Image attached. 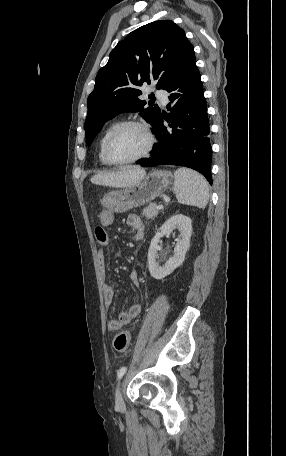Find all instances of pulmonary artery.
I'll return each instance as SVG.
<instances>
[{
    "label": "pulmonary artery",
    "instance_id": "e3ab8cb5",
    "mask_svg": "<svg viewBox=\"0 0 286 456\" xmlns=\"http://www.w3.org/2000/svg\"><path fill=\"white\" fill-rule=\"evenodd\" d=\"M155 94L164 104L167 102V93L164 90H157Z\"/></svg>",
    "mask_w": 286,
    "mask_h": 456
}]
</instances>
